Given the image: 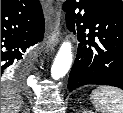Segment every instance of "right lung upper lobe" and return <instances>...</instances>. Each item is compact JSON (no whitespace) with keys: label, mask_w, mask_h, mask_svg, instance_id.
<instances>
[{"label":"right lung upper lobe","mask_w":123,"mask_h":113,"mask_svg":"<svg viewBox=\"0 0 123 113\" xmlns=\"http://www.w3.org/2000/svg\"><path fill=\"white\" fill-rule=\"evenodd\" d=\"M11 0H1V5L9 3Z\"/></svg>","instance_id":"obj_1"}]
</instances>
